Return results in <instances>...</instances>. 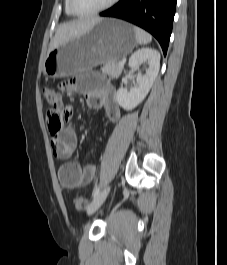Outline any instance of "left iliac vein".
I'll list each match as a JSON object with an SVG mask.
<instances>
[{
    "label": "left iliac vein",
    "mask_w": 227,
    "mask_h": 265,
    "mask_svg": "<svg viewBox=\"0 0 227 265\" xmlns=\"http://www.w3.org/2000/svg\"><path fill=\"white\" fill-rule=\"evenodd\" d=\"M109 191H110V186H107L93 199V201L90 203V205L87 208L88 215H92L100 208V206L104 203Z\"/></svg>",
    "instance_id": "obj_1"
}]
</instances>
